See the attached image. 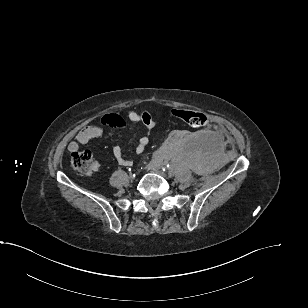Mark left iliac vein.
<instances>
[{
  "instance_id": "1",
  "label": "left iliac vein",
  "mask_w": 308,
  "mask_h": 308,
  "mask_svg": "<svg viewBox=\"0 0 308 308\" xmlns=\"http://www.w3.org/2000/svg\"><path fill=\"white\" fill-rule=\"evenodd\" d=\"M148 171H151L155 174H158L162 177H166V173L161 170L160 166L157 163H149L147 166Z\"/></svg>"
}]
</instances>
